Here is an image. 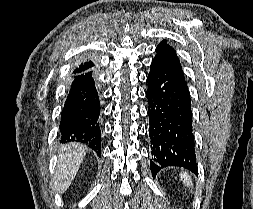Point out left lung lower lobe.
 Returning a JSON list of instances; mask_svg holds the SVG:
<instances>
[{"mask_svg": "<svg viewBox=\"0 0 253 209\" xmlns=\"http://www.w3.org/2000/svg\"><path fill=\"white\" fill-rule=\"evenodd\" d=\"M147 84L153 176L167 166L183 167L198 174L190 93L184 76L170 63L154 59Z\"/></svg>", "mask_w": 253, "mask_h": 209, "instance_id": "left-lung-lower-lobe-1", "label": "left lung lower lobe"}]
</instances>
